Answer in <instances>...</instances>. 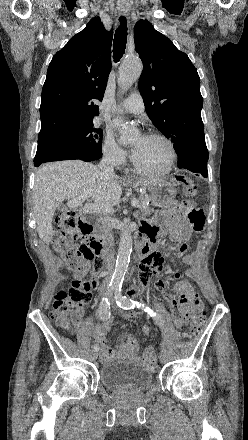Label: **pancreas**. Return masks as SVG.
Masks as SVG:
<instances>
[{
  "instance_id": "pancreas-1",
  "label": "pancreas",
  "mask_w": 248,
  "mask_h": 440,
  "mask_svg": "<svg viewBox=\"0 0 248 440\" xmlns=\"http://www.w3.org/2000/svg\"><path fill=\"white\" fill-rule=\"evenodd\" d=\"M148 201L147 197H140V207L139 214L143 217L148 216L151 213V209L146 206V202Z\"/></svg>"
}]
</instances>
